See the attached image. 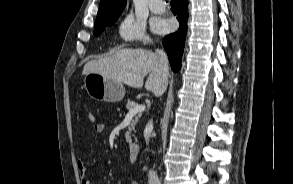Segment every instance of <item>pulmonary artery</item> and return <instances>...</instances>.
Wrapping results in <instances>:
<instances>
[{"mask_svg": "<svg viewBox=\"0 0 293 184\" xmlns=\"http://www.w3.org/2000/svg\"><path fill=\"white\" fill-rule=\"evenodd\" d=\"M149 7L155 14H161L165 11V5L162 0H150Z\"/></svg>", "mask_w": 293, "mask_h": 184, "instance_id": "e3ab8cb5", "label": "pulmonary artery"}]
</instances>
